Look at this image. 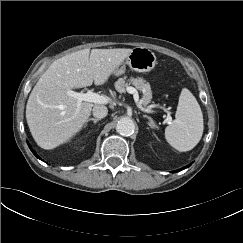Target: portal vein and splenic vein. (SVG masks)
Returning <instances> with one entry per match:
<instances>
[{
	"label": "portal vein and splenic vein",
	"instance_id": "obj_1",
	"mask_svg": "<svg viewBox=\"0 0 243 243\" xmlns=\"http://www.w3.org/2000/svg\"><path fill=\"white\" fill-rule=\"evenodd\" d=\"M127 92L130 94H133L134 100L138 103V107L145 112H150V110L145 109L141 106V103L138 102L139 100V95L137 90L134 87H127ZM68 96H71L77 100V108L79 109L81 106L82 101H87V102H92V103H97V104H107L109 102V98L106 96L99 95L97 93H93L91 90L87 91L86 93H78L74 92L72 90H68L66 93ZM168 120L171 122V117L168 114Z\"/></svg>",
	"mask_w": 243,
	"mask_h": 243
}]
</instances>
